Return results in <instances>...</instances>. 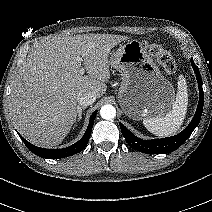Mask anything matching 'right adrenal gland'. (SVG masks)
Returning a JSON list of instances; mask_svg holds the SVG:
<instances>
[{
  "label": "right adrenal gland",
  "instance_id": "right-adrenal-gland-1",
  "mask_svg": "<svg viewBox=\"0 0 212 212\" xmlns=\"http://www.w3.org/2000/svg\"><path fill=\"white\" fill-rule=\"evenodd\" d=\"M86 107L85 106H78L77 107V113L75 117V122H79L82 118V110H84ZM77 118V119H76Z\"/></svg>",
  "mask_w": 212,
  "mask_h": 212
}]
</instances>
